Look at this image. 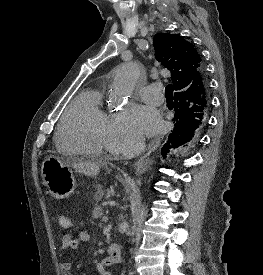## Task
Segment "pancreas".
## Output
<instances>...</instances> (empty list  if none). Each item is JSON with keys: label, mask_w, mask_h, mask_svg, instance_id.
Masks as SVG:
<instances>
[{"label": "pancreas", "mask_w": 263, "mask_h": 275, "mask_svg": "<svg viewBox=\"0 0 263 275\" xmlns=\"http://www.w3.org/2000/svg\"><path fill=\"white\" fill-rule=\"evenodd\" d=\"M102 196H103L102 192H97L94 195V199L96 201V204L93 209V218L94 219L101 217L103 214V208L98 204V202L101 200Z\"/></svg>", "instance_id": "1"}]
</instances>
